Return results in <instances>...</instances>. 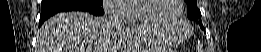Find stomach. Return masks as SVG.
<instances>
[{"label":"stomach","mask_w":261,"mask_h":52,"mask_svg":"<svg viewBox=\"0 0 261 52\" xmlns=\"http://www.w3.org/2000/svg\"><path fill=\"white\" fill-rule=\"evenodd\" d=\"M146 28L150 29L151 31L159 32L158 28H152L150 26H146ZM145 50L147 52H168L167 47L162 44V36L158 35H151L149 37V44H146Z\"/></svg>","instance_id":"1"}]
</instances>
